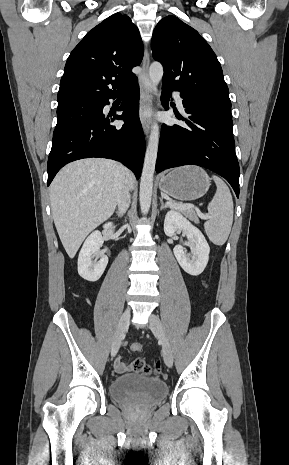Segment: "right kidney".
Returning <instances> with one entry per match:
<instances>
[{
	"instance_id": "ca27d5eb",
	"label": "right kidney",
	"mask_w": 289,
	"mask_h": 465,
	"mask_svg": "<svg viewBox=\"0 0 289 465\" xmlns=\"http://www.w3.org/2000/svg\"><path fill=\"white\" fill-rule=\"evenodd\" d=\"M112 226L113 224L108 222L103 228L109 229ZM103 242L101 232L96 230L88 236L81 248L78 257V273L87 281L99 280L108 264V257L99 251ZM95 257L99 258V261L94 260Z\"/></svg>"
}]
</instances>
